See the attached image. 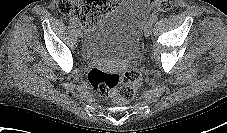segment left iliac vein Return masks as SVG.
<instances>
[{
	"instance_id": "1",
	"label": "left iliac vein",
	"mask_w": 227,
	"mask_h": 133,
	"mask_svg": "<svg viewBox=\"0 0 227 133\" xmlns=\"http://www.w3.org/2000/svg\"><path fill=\"white\" fill-rule=\"evenodd\" d=\"M152 32V23L149 21L144 27V35L145 37H149Z\"/></svg>"
}]
</instances>
